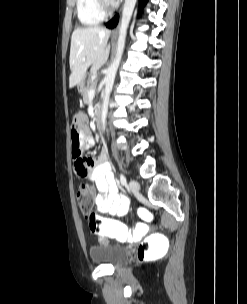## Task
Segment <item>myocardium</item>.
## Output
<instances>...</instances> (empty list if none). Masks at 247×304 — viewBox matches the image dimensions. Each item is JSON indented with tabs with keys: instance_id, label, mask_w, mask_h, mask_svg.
Masks as SVG:
<instances>
[{
	"instance_id": "myocardium-1",
	"label": "myocardium",
	"mask_w": 247,
	"mask_h": 304,
	"mask_svg": "<svg viewBox=\"0 0 247 304\" xmlns=\"http://www.w3.org/2000/svg\"><path fill=\"white\" fill-rule=\"evenodd\" d=\"M96 6L99 13L104 17L109 16L115 8V6L108 0H96Z\"/></svg>"
}]
</instances>
